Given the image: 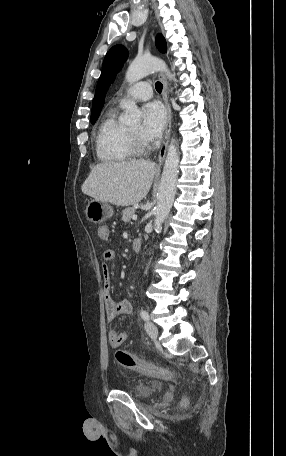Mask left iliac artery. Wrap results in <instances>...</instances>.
<instances>
[{"label": "left iliac artery", "instance_id": "obj_1", "mask_svg": "<svg viewBox=\"0 0 286 456\" xmlns=\"http://www.w3.org/2000/svg\"><path fill=\"white\" fill-rule=\"evenodd\" d=\"M140 315L143 320H149V314L146 310H141Z\"/></svg>", "mask_w": 286, "mask_h": 456}]
</instances>
